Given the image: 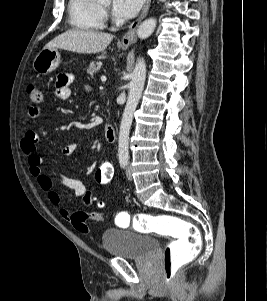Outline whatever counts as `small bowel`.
<instances>
[{
	"instance_id": "c3829d8e",
	"label": "small bowel",
	"mask_w": 267,
	"mask_h": 301,
	"mask_svg": "<svg viewBox=\"0 0 267 301\" xmlns=\"http://www.w3.org/2000/svg\"><path fill=\"white\" fill-rule=\"evenodd\" d=\"M73 82V75L68 72L60 73L55 81V92L54 95L56 99L60 101L67 100L71 95L70 85ZM87 90L90 88L85 87ZM40 110L38 108H31L29 110L30 117H37L40 115ZM39 137L35 130L32 128L27 129L22 140H21V150L23 154L27 157L29 170L32 176H34L38 182L40 188L46 192L50 202L53 205H58L60 203V196L54 189V184L52 178L47 175L42 170V159L37 154V143ZM78 147V142H71L66 144L61 152L64 156H71L75 153ZM60 181L70 189H72L77 197H83L85 203H91L93 201V195L86 190L85 185L74 178L67 176H59ZM60 215L71 221L75 229L82 233H87L89 231L88 221H100L103 218V214L100 212L86 213L83 211L71 212L66 208L60 209Z\"/></svg>"
}]
</instances>
